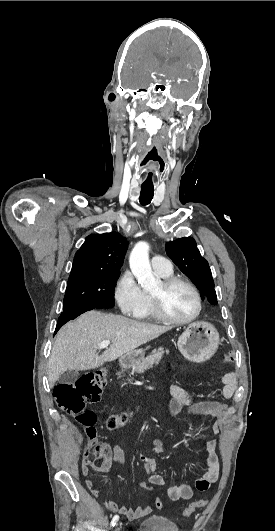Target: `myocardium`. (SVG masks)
<instances>
[{"label": "myocardium", "mask_w": 275, "mask_h": 531, "mask_svg": "<svg viewBox=\"0 0 275 531\" xmlns=\"http://www.w3.org/2000/svg\"><path fill=\"white\" fill-rule=\"evenodd\" d=\"M177 283H181L185 285L186 287H188L195 298L196 308H195L194 313L190 315L189 317L184 318V319H176L170 316L164 309L163 301H162V292L151 293V298L153 302L154 311L159 319L169 324H173V325H186V324L191 323L195 319H197L199 315L201 314L202 300H201V296L196 286L184 277L169 275V276L163 277L161 280L163 289H167L170 286L177 284Z\"/></svg>", "instance_id": "obj_1"}]
</instances>
